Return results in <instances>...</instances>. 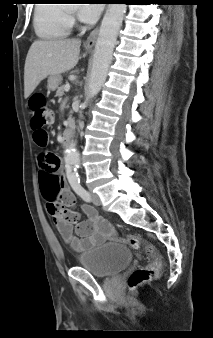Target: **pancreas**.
I'll use <instances>...</instances> for the list:
<instances>
[{
	"label": "pancreas",
	"mask_w": 213,
	"mask_h": 338,
	"mask_svg": "<svg viewBox=\"0 0 213 338\" xmlns=\"http://www.w3.org/2000/svg\"><path fill=\"white\" fill-rule=\"evenodd\" d=\"M64 91H65L64 86L63 85L60 86L56 92V96L61 98L64 95Z\"/></svg>",
	"instance_id": "cf45deb5"
}]
</instances>
